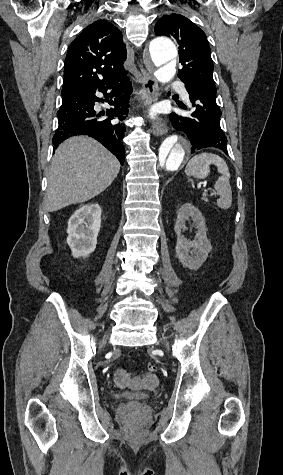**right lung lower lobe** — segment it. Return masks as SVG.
Masks as SVG:
<instances>
[{"label":"right lung lower lobe","instance_id":"right-lung-lower-lobe-1","mask_svg":"<svg viewBox=\"0 0 283 475\" xmlns=\"http://www.w3.org/2000/svg\"><path fill=\"white\" fill-rule=\"evenodd\" d=\"M98 91L105 95V100L113 108L105 112L94 110L95 102H104L95 95ZM131 91V82L125 77L113 83L82 86L62 93V105L57 112L58 129L52 139L54 149L71 136L88 135L101 142L123 165L125 150L122 139L126 128L114 119H124L121 115L127 114ZM103 115L108 118H99Z\"/></svg>","mask_w":283,"mask_h":475}]
</instances>
